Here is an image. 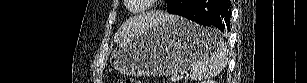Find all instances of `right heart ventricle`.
I'll list each match as a JSON object with an SVG mask.
<instances>
[{
  "mask_svg": "<svg viewBox=\"0 0 307 83\" xmlns=\"http://www.w3.org/2000/svg\"><path fill=\"white\" fill-rule=\"evenodd\" d=\"M141 7H142V8H143V10H144V9H145V7H146V5H142Z\"/></svg>",
  "mask_w": 307,
  "mask_h": 83,
  "instance_id": "e07e8e85",
  "label": "right heart ventricle"
}]
</instances>
